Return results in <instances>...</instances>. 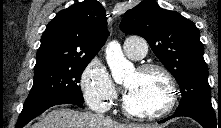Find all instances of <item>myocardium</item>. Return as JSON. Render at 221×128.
Masks as SVG:
<instances>
[{"mask_svg":"<svg viewBox=\"0 0 221 128\" xmlns=\"http://www.w3.org/2000/svg\"><path fill=\"white\" fill-rule=\"evenodd\" d=\"M150 71L158 72L163 77L167 89L166 99L163 104L156 109L136 112L130 109L126 102L125 96H123L121 100L122 110L123 113L129 118L137 120L156 119L170 113L175 105L177 99V88L172 73L165 66L157 63H145L140 65L136 70V72L139 74L147 73Z\"/></svg>","mask_w":221,"mask_h":128,"instance_id":"f54148a6","label":"myocardium"}]
</instances>
